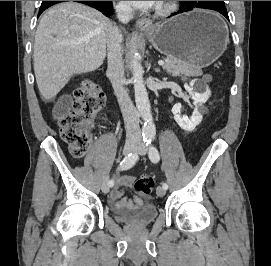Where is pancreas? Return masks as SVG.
<instances>
[{
	"mask_svg": "<svg viewBox=\"0 0 271 266\" xmlns=\"http://www.w3.org/2000/svg\"><path fill=\"white\" fill-rule=\"evenodd\" d=\"M166 73L173 77L185 75V76H199L202 74L201 69L193 67L191 64L183 62L176 58H167L166 64L163 66Z\"/></svg>",
	"mask_w": 271,
	"mask_h": 266,
	"instance_id": "1",
	"label": "pancreas"
}]
</instances>
